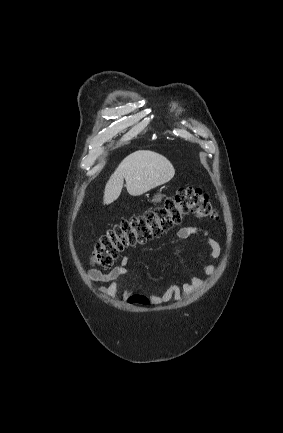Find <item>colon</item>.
<instances>
[{"label": "colon", "mask_w": 283, "mask_h": 433, "mask_svg": "<svg viewBox=\"0 0 283 433\" xmlns=\"http://www.w3.org/2000/svg\"><path fill=\"white\" fill-rule=\"evenodd\" d=\"M188 214L199 219L218 220V212L206 193L193 187L179 188L173 196L167 197L162 205L124 218L106 231L91 252L92 264L102 269L110 268L125 249L161 237L180 224ZM130 300L135 303H148L143 295L132 296Z\"/></svg>", "instance_id": "1"}]
</instances>
